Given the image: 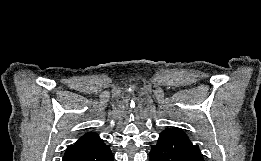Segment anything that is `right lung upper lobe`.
Instances as JSON below:
<instances>
[{
	"mask_svg": "<svg viewBox=\"0 0 261 161\" xmlns=\"http://www.w3.org/2000/svg\"><path fill=\"white\" fill-rule=\"evenodd\" d=\"M104 144L103 140L95 133H88L81 137L75 144L67 148L66 153L92 149Z\"/></svg>",
	"mask_w": 261,
	"mask_h": 161,
	"instance_id": "right-lung-upper-lobe-1",
	"label": "right lung upper lobe"
}]
</instances>
